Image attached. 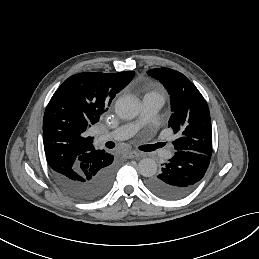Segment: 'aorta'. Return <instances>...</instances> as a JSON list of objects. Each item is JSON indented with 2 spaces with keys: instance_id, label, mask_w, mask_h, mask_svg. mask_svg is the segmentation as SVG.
I'll use <instances>...</instances> for the list:
<instances>
[{
  "instance_id": "aorta-1",
  "label": "aorta",
  "mask_w": 259,
  "mask_h": 259,
  "mask_svg": "<svg viewBox=\"0 0 259 259\" xmlns=\"http://www.w3.org/2000/svg\"><path fill=\"white\" fill-rule=\"evenodd\" d=\"M140 111V103L133 96H123L115 103L116 114L126 120L135 118ZM138 172L144 177H152L157 172V163L152 158L141 159L138 163Z\"/></svg>"
}]
</instances>
